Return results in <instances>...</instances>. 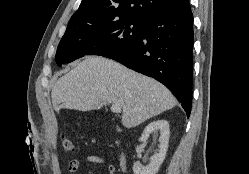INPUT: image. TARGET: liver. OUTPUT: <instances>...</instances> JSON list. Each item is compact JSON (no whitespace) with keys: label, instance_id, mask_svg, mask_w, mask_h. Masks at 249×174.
<instances>
[{"label":"liver","instance_id":"obj_1","mask_svg":"<svg viewBox=\"0 0 249 174\" xmlns=\"http://www.w3.org/2000/svg\"><path fill=\"white\" fill-rule=\"evenodd\" d=\"M55 109L91 111L118 104L122 124L136 127L173 108L176 99L161 83L104 57H86L52 89Z\"/></svg>","mask_w":249,"mask_h":174}]
</instances>
